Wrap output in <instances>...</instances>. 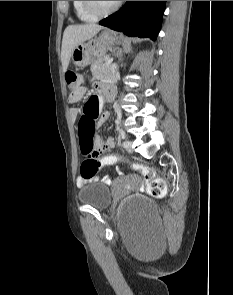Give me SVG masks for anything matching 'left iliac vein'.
Instances as JSON below:
<instances>
[{
	"label": "left iliac vein",
	"instance_id": "1",
	"mask_svg": "<svg viewBox=\"0 0 233 295\" xmlns=\"http://www.w3.org/2000/svg\"><path fill=\"white\" fill-rule=\"evenodd\" d=\"M129 141V144L128 145H124L123 144V146H124V148L129 152V153H131L132 151H133V149H132V141H130V140H128Z\"/></svg>",
	"mask_w": 233,
	"mask_h": 295
}]
</instances>
